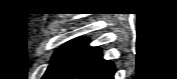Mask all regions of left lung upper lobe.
Segmentation results:
<instances>
[{
	"label": "left lung upper lobe",
	"instance_id": "obj_1",
	"mask_svg": "<svg viewBox=\"0 0 177 79\" xmlns=\"http://www.w3.org/2000/svg\"><path fill=\"white\" fill-rule=\"evenodd\" d=\"M80 40L81 39L69 42L67 46H63L55 52L52 62L50 64V66L48 67L46 73L44 74L43 79H48L57 70V68L61 65V63L63 62L66 55L69 53V51Z\"/></svg>",
	"mask_w": 177,
	"mask_h": 79
}]
</instances>
